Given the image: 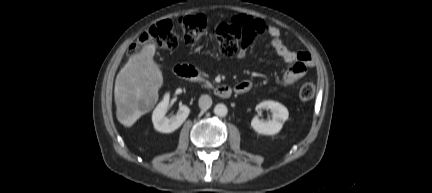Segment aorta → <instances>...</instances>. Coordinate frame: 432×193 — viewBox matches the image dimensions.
Masks as SVG:
<instances>
[{"label": "aorta", "instance_id": "762f6f07", "mask_svg": "<svg viewBox=\"0 0 432 193\" xmlns=\"http://www.w3.org/2000/svg\"><path fill=\"white\" fill-rule=\"evenodd\" d=\"M214 113L219 117H224L227 115L228 109H227L226 105H224V104H217L214 107Z\"/></svg>", "mask_w": 432, "mask_h": 193}]
</instances>
